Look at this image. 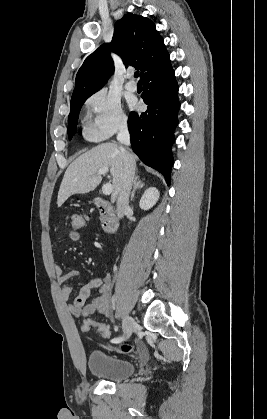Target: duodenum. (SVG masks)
Returning <instances> with one entry per match:
<instances>
[{
  "label": "duodenum",
  "mask_w": 267,
  "mask_h": 419,
  "mask_svg": "<svg viewBox=\"0 0 267 419\" xmlns=\"http://www.w3.org/2000/svg\"><path fill=\"white\" fill-rule=\"evenodd\" d=\"M94 204L102 217V229L105 233H113L119 225V220L115 208L102 198H95Z\"/></svg>",
  "instance_id": "410a0bca"
}]
</instances>
